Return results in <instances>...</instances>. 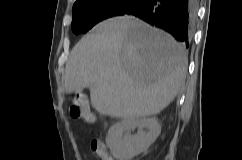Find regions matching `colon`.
Listing matches in <instances>:
<instances>
[{"instance_id": "colon-1", "label": "colon", "mask_w": 242, "mask_h": 160, "mask_svg": "<svg viewBox=\"0 0 242 160\" xmlns=\"http://www.w3.org/2000/svg\"><path fill=\"white\" fill-rule=\"evenodd\" d=\"M69 112L70 115L74 118L77 119H82L86 122L92 123L94 122V115L93 112L87 102L86 97L81 94V93H76L70 102V106H69ZM102 144L100 142L97 141V144L95 146V148L97 147H101ZM108 154L106 150H103L101 153L97 154L100 159L102 158V156ZM102 160V159H101Z\"/></svg>"}]
</instances>
